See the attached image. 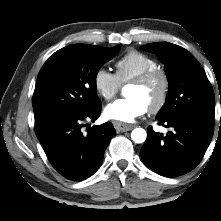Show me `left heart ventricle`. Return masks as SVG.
Returning <instances> with one entry per match:
<instances>
[{
    "label": "left heart ventricle",
    "instance_id": "obj_1",
    "mask_svg": "<svg viewBox=\"0 0 221 221\" xmlns=\"http://www.w3.org/2000/svg\"><path fill=\"white\" fill-rule=\"evenodd\" d=\"M160 89V82L155 80L145 86L129 85L127 96L129 98H138L149 107L157 98Z\"/></svg>",
    "mask_w": 221,
    "mask_h": 221
}]
</instances>
